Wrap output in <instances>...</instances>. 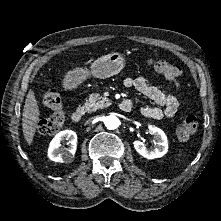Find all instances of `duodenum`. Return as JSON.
<instances>
[{
  "mask_svg": "<svg viewBox=\"0 0 221 221\" xmlns=\"http://www.w3.org/2000/svg\"><path fill=\"white\" fill-rule=\"evenodd\" d=\"M131 104L128 102V101H123L121 104H120V108L122 111L124 112H128L131 110ZM84 115V110L82 108H78L76 109L72 115H71V120L75 123L81 121L82 117Z\"/></svg>",
  "mask_w": 221,
  "mask_h": 221,
  "instance_id": "1",
  "label": "duodenum"
}]
</instances>
